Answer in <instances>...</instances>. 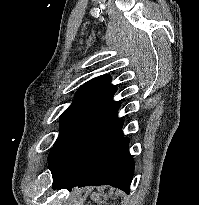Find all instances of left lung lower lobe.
I'll use <instances>...</instances> for the list:
<instances>
[{"instance_id":"1","label":"left lung lower lobe","mask_w":199,"mask_h":205,"mask_svg":"<svg viewBox=\"0 0 199 205\" xmlns=\"http://www.w3.org/2000/svg\"><path fill=\"white\" fill-rule=\"evenodd\" d=\"M119 107L89 135L66 175L53 180L54 189L108 184L130 191L134 161L128 151L129 140L122 132Z\"/></svg>"}]
</instances>
